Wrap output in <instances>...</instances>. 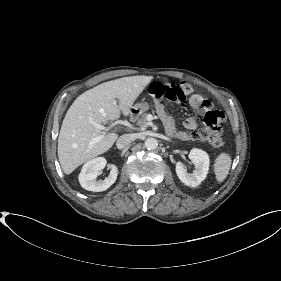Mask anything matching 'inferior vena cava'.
<instances>
[{"label":"inferior vena cava","mask_w":281,"mask_h":281,"mask_svg":"<svg viewBox=\"0 0 281 281\" xmlns=\"http://www.w3.org/2000/svg\"><path fill=\"white\" fill-rule=\"evenodd\" d=\"M133 140L134 138L131 134H125L117 139L116 145L119 149H122L132 143Z\"/></svg>","instance_id":"1"}]
</instances>
